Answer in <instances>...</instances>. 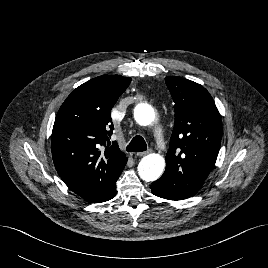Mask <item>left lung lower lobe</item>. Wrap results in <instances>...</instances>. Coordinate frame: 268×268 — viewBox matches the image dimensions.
<instances>
[{"instance_id":"left-lung-lower-lobe-1","label":"left lung lower lobe","mask_w":268,"mask_h":268,"mask_svg":"<svg viewBox=\"0 0 268 268\" xmlns=\"http://www.w3.org/2000/svg\"><path fill=\"white\" fill-rule=\"evenodd\" d=\"M152 193L158 197L168 200H183L189 198V196L176 192L168 187L162 186L156 182H153L150 186Z\"/></svg>"}]
</instances>
